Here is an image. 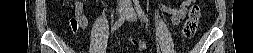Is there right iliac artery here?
<instances>
[{
  "label": "right iliac artery",
  "instance_id": "right-iliac-artery-1",
  "mask_svg": "<svg viewBox=\"0 0 253 53\" xmlns=\"http://www.w3.org/2000/svg\"><path fill=\"white\" fill-rule=\"evenodd\" d=\"M126 16H122L120 19H118V21H116V23L114 24L113 28H112V33H114V31L116 29H118L125 21Z\"/></svg>",
  "mask_w": 253,
  "mask_h": 53
}]
</instances>
